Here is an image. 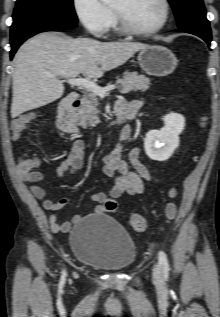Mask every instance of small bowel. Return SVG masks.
<instances>
[{
    "label": "small bowel",
    "mask_w": 220,
    "mask_h": 317,
    "mask_svg": "<svg viewBox=\"0 0 220 317\" xmlns=\"http://www.w3.org/2000/svg\"><path fill=\"white\" fill-rule=\"evenodd\" d=\"M123 102V101H122ZM124 103L127 115L133 119L140 107L142 101L139 99L129 103ZM131 129L127 128V139L131 136ZM84 141L76 138L73 142L71 152L55 167V174L58 178L66 174H75L83 167L84 162ZM123 150L120 145L115 146L102 159V171L112 180L113 185L109 194L96 193L91 196V200L96 203L93 212L102 214L105 209V202L108 199H116L123 193L129 195H138L144 191V181L150 179V173L147 166L141 160V149H132L127 160L122 157ZM39 162L36 159H21L18 163V172L20 178L25 183H30V190L38 200L42 201V207L49 212L48 222L53 232H67L71 224L69 222L59 223L56 211L70 203L69 197H63L58 201L45 198V190L37 183L42 181L44 176L38 170ZM83 217L77 214L73 217L74 222H78Z\"/></svg>",
    "instance_id": "1"
}]
</instances>
